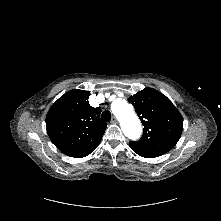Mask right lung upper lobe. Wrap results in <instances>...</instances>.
I'll return each mask as SVG.
<instances>
[{"label":"right lung upper lobe","mask_w":221,"mask_h":221,"mask_svg":"<svg viewBox=\"0 0 221 221\" xmlns=\"http://www.w3.org/2000/svg\"><path fill=\"white\" fill-rule=\"evenodd\" d=\"M90 92L74 89L62 95L46 116L47 133L64 154L82 158L100 143L107 124L99 115L100 108L90 106Z\"/></svg>","instance_id":"obj_1"}]
</instances>
